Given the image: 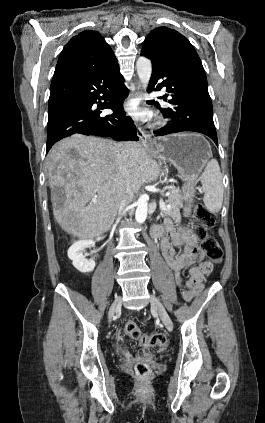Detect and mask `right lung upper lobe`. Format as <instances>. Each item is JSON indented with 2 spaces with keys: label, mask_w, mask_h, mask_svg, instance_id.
Masks as SVG:
<instances>
[{
  "label": "right lung upper lobe",
  "mask_w": 265,
  "mask_h": 423,
  "mask_svg": "<svg viewBox=\"0 0 265 423\" xmlns=\"http://www.w3.org/2000/svg\"><path fill=\"white\" fill-rule=\"evenodd\" d=\"M118 65L110 46L96 31L86 30L71 38L62 50L53 79L86 70H104Z\"/></svg>",
  "instance_id": "right-lung-upper-lobe-1"
}]
</instances>
